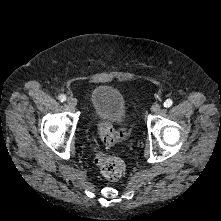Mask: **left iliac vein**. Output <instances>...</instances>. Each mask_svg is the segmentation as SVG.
Returning <instances> with one entry per match:
<instances>
[{"instance_id": "obj_1", "label": "left iliac vein", "mask_w": 221, "mask_h": 221, "mask_svg": "<svg viewBox=\"0 0 221 221\" xmlns=\"http://www.w3.org/2000/svg\"><path fill=\"white\" fill-rule=\"evenodd\" d=\"M161 109V105L159 103H154L151 107L152 112H158Z\"/></svg>"}]
</instances>
